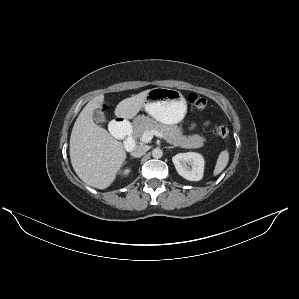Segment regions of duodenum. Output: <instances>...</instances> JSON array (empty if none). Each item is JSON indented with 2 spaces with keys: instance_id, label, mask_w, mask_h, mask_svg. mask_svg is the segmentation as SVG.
Masks as SVG:
<instances>
[{
  "instance_id": "410a0bca",
  "label": "duodenum",
  "mask_w": 299,
  "mask_h": 299,
  "mask_svg": "<svg viewBox=\"0 0 299 299\" xmlns=\"http://www.w3.org/2000/svg\"><path fill=\"white\" fill-rule=\"evenodd\" d=\"M111 130L114 132H125L126 138L124 141V147L126 151H132L136 147V142L133 136V133L130 129V126L126 122L123 117H118L116 120L111 124Z\"/></svg>"
}]
</instances>
